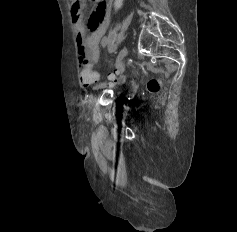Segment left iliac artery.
<instances>
[{"instance_id":"left-iliac-artery-1","label":"left iliac artery","mask_w":237,"mask_h":232,"mask_svg":"<svg viewBox=\"0 0 237 232\" xmlns=\"http://www.w3.org/2000/svg\"><path fill=\"white\" fill-rule=\"evenodd\" d=\"M107 41H108L107 37L106 36L103 37V39L101 41L102 47H105L107 45Z\"/></svg>"}]
</instances>
